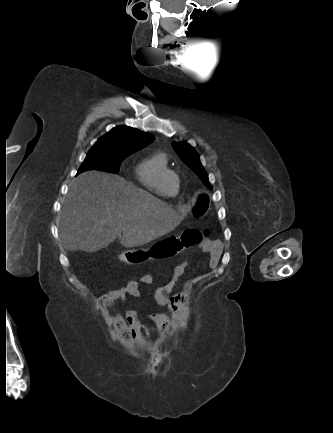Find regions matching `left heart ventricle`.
Segmentation results:
<instances>
[{
  "label": "left heart ventricle",
  "instance_id": "1",
  "mask_svg": "<svg viewBox=\"0 0 333 433\" xmlns=\"http://www.w3.org/2000/svg\"><path fill=\"white\" fill-rule=\"evenodd\" d=\"M176 179L174 177H169L167 180V188L171 193H174L176 190Z\"/></svg>",
  "mask_w": 333,
  "mask_h": 433
}]
</instances>
